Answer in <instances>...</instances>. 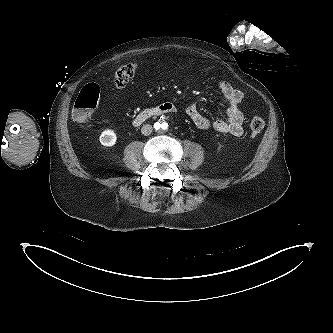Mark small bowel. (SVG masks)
Segmentation results:
<instances>
[{
	"label": "small bowel",
	"instance_id": "small-bowel-1",
	"mask_svg": "<svg viewBox=\"0 0 333 333\" xmlns=\"http://www.w3.org/2000/svg\"><path fill=\"white\" fill-rule=\"evenodd\" d=\"M219 90L227 102L226 116L211 121L207 116L202 114L194 103L186 108V113L200 130L214 129L219 133L230 134L239 137L243 133L244 115L239 105L244 97V93L234 88L227 81H219Z\"/></svg>",
	"mask_w": 333,
	"mask_h": 333
}]
</instances>
